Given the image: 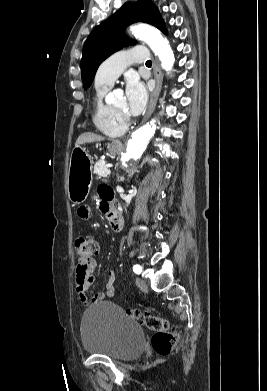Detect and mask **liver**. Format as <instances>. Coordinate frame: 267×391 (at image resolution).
<instances>
[{
	"label": "liver",
	"instance_id": "1",
	"mask_svg": "<svg viewBox=\"0 0 267 391\" xmlns=\"http://www.w3.org/2000/svg\"><path fill=\"white\" fill-rule=\"evenodd\" d=\"M103 140H104L103 136L91 132H85L77 138L75 146L77 147L85 143H92V142H98Z\"/></svg>",
	"mask_w": 267,
	"mask_h": 391
}]
</instances>
